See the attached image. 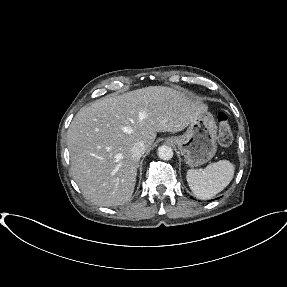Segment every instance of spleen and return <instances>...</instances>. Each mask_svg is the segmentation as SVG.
I'll return each instance as SVG.
<instances>
[{"label":"spleen","mask_w":287,"mask_h":287,"mask_svg":"<svg viewBox=\"0 0 287 287\" xmlns=\"http://www.w3.org/2000/svg\"><path fill=\"white\" fill-rule=\"evenodd\" d=\"M235 166L228 160L209 164L204 170L190 169L186 179L193 194L202 200L211 199L233 179Z\"/></svg>","instance_id":"spleen-1"}]
</instances>
